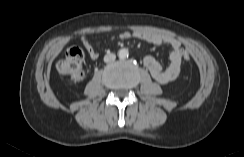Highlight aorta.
Masks as SVG:
<instances>
[{
	"label": "aorta",
	"instance_id": "1",
	"mask_svg": "<svg viewBox=\"0 0 244 157\" xmlns=\"http://www.w3.org/2000/svg\"><path fill=\"white\" fill-rule=\"evenodd\" d=\"M128 55H129L128 49L123 48L118 51V56L120 59H125L128 57Z\"/></svg>",
	"mask_w": 244,
	"mask_h": 157
}]
</instances>
